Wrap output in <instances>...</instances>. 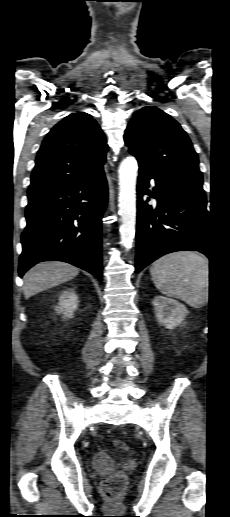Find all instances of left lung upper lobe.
I'll use <instances>...</instances> for the list:
<instances>
[{
	"label": "left lung upper lobe",
	"instance_id": "obj_1",
	"mask_svg": "<svg viewBox=\"0 0 230 517\" xmlns=\"http://www.w3.org/2000/svg\"><path fill=\"white\" fill-rule=\"evenodd\" d=\"M139 167L180 182L203 184L198 156L186 132L157 107L138 110L124 135Z\"/></svg>",
	"mask_w": 230,
	"mask_h": 517
}]
</instances>
